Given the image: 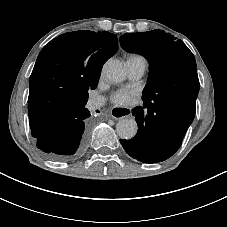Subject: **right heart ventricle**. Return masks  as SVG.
I'll return each instance as SVG.
<instances>
[{
  "mask_svg": "<svg viewBox=\"0 0 227 227\" xmlns=\"http://www.w3.org/2000/svg\"><path fill=\"white\" fill-rule=\"evenodd\" d=\"M128 59H132V60H139V61H145L141 56L139 55H130L128 57Z\"/></svg>",
  "mask_w": 227,
  "mask_h": 227,
  "instance_id": "obj_1",
  "label": "right heart ventricle"
}]
</instances>
